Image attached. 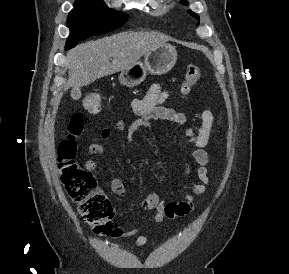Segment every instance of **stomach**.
<instances>
[{
  "instance_id": "stomach-1",
  "label": "stomach",
  "mask_w": 289,
  "mask_h": 274,
  "mask_svg": "<svg viewBox=\"0 0 289 274\" xmlns=\"http://www.w3.org/2000/svg\"><path fill=\"white\" fill-rule=\"evenodd\" d=\"M177 61L175 47L162 43L144 55L143 61H137L129 68L121 71L119 81L127 87H134L142 83L147 73L162 75L169 72Z\"/></svg>"
}]
</instances>
